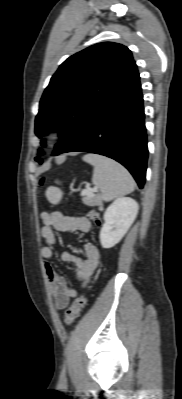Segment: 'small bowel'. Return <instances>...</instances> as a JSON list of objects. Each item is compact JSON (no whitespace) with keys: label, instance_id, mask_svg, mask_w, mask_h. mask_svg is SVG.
<instances>
[{"label":"small bowel","instance_id":"obj_1","mask_svg":"<svg viewBox=\"0 0 182 399\" xmlns=\"http://www.w3.org/2000/svg\"><path fill=\"white\" fill-rule=\"evenodd\" d=\"M41 218L43 226L41 227L40 235L48 244L43 246L40 251L44 260L48 291L54 300L55 306L58 309H64L68 306L71 298L76 296L77 292L73 287L67 285L64 278L51 263V259L54 256L53 247L58 242L55 232L79 231L87 233L91 229V223L84 217L66 215L59 210L44 212ZM84 254L85 258L81 259L71 252L64 251L61 254V260L65 263H73L76 266L75 277L85 285L98 265L100 254L98 248L91 243L85 244Z\"/></svg>","mask_w":182,"mask_h":399}]
</instances>
